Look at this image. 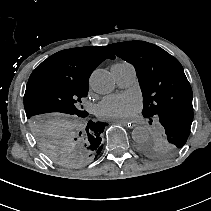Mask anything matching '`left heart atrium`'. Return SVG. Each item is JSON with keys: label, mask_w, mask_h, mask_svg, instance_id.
Instances as JSON below:
<instances>
[{"label": "left heart atrium", "mask_w": 211, "mask_h": 211, "mask_svg": "<svg viewBox=\"0 0 211 211\" xmlns=\"http://www.w3.org/2000/svg\"><path fill=\"white\" fill-rule=\"evenodd\" d=\"M140 109L141 102L134 95H111L97 105L96 114L103 119H123L134 116Z\"/></svg>", "instance_id": "left-heart-atrium-1"}]
</instances>
